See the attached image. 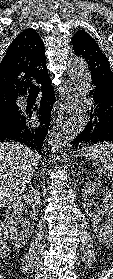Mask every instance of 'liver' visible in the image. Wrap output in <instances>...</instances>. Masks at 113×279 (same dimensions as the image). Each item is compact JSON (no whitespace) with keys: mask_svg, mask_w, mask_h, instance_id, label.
I'll use <instances>...</instances> for the list:
<instances>
[{"mask_svg":"<svg viewBox=\"0 0 113 279\" xmlns=\"http://www.w3.org/2000/svg\"><path fill=\"white\" fill-rule=\"evenodd\" d=\"M39 155L20 143L0 142V208L24 192L38 166Z\"/></svg>","mask_w":113,"mask_h":279,"instance_id":"obj_1","label":"liver"}]
</instances>
